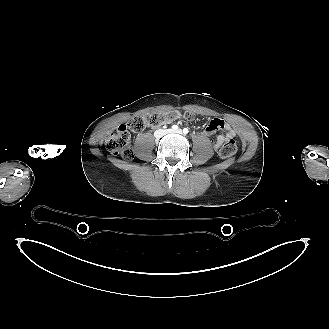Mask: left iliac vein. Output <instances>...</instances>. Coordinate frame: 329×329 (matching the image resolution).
<instances>
[{
  "label": "left iliac vein",
  "mask_w": 329,
  "mask_h": 329,
  "mask_svg": "<svg viewBox=\"0 0 329 329\" xmlns=\"http://www.w3.org/2000/svg\"><path fill=\"white\" fill-rule=\"evenodd\" d=\"M170 132H173V133H176V134H182V130L181 129H178V130H172Z\"/></svg>",
  "instance_id": "obj_1"
}]
</instances>
